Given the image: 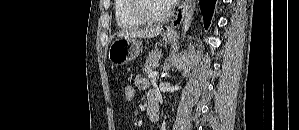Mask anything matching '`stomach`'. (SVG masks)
<instances>
[{"label":"stomach","instance_id":"obj_1","mask_svg":"<svg viewBox=\"0 0 299 130\" xmlns=\"http://www.w3.org/2000/svg\"><path fill=\"white\" fill-rule=\"evenodd\" d=\"M175 36V32L162 34L165 42L172 41ZM140 52L141 45L135 38H118L111 43L108 58L114 65H123L135 59Z\"/></svg>","mask_w":299,"mask_h":130}]
</instances>
